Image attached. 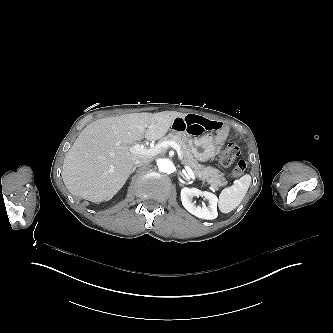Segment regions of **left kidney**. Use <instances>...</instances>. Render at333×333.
I'll return each instance as SVG.
<instances>
[{
  "label": "left kidney",
  "mask_w": 333,
  "mask_h": 333,
  "mask_svg": "<svg viewBox=\"0 0 333 333\" xmlns=\"http://www.w3.org/2000/svg\"><path fill=\"white\" fill-rule=\"evenodd\" d=\"M194 196L204 197L208 206L204 205L200 208L192 202ZM181 200L184 208L192 215L206 220H213L217 218V197L207 191H202L197 188L185 187L181 190Z\"/></svg>",
  "instance_id": "obj_1"
}]
</instances>
